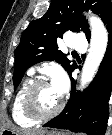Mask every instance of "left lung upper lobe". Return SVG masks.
<instances>
[{"label": "left lung upper lobe", "instance_id": "1", "mask_svg": "<svg viewBox=\"0 0 112 135\" xmlns=\"http://www.w3.org/2000/svg\"><path fill=\"white\" fill-rule=\"evenodd\" d=\"M92 10L98 14L105 25L112 19V2L110 0H52L43 17L31 21L21 36L15 50L13 83L16 88L25 71L41 61L60 63L70 74L76 67L66 55L58 50L57 39L66 31L84 32L90 40L88 21L81 12Z\"/></svg>", "mask_w": 112, "mask_h": 135}]
</instances>
